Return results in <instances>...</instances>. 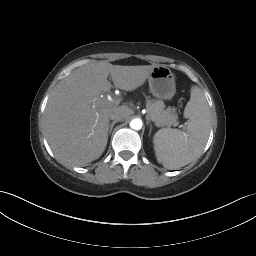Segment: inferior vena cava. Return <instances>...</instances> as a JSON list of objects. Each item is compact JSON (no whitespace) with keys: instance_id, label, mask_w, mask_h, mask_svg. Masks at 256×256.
<instances>
[{"instance_id":"obj_1","label":"inferior vena cava","mask_w":256,"mask_h":256,"mask_svg":"<svg viewBox=\"0 0 256 256\" xmlns=\"http://www.w3.org/2000/svg\"><path fill=\"white\" fill-rule=\"evenodd\" d=\"M110 119L114 120V121H122L124 119L123 115L121 114V112L115 110L110 114Z\"/></svg>"}]
</instances>
